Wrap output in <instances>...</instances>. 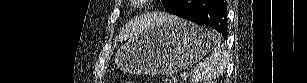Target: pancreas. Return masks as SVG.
<instances>
[{"label":"pancreas","mask_w":307,"mask_h":83,"mask_svg":"<svg viewBox=\"0 0 307 83\" xmlns=\"http://www.w3.org/2000/svg\"><path fill=\"white\" fill-rule=\"evenodd\" d=\"M171 83H176V81L174 80V81H171Z\"/></svg>","instance_id":"obj_1"}]
</instances>
